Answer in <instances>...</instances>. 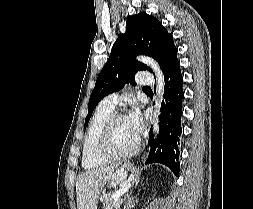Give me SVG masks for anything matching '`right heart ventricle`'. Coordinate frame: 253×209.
<instances>
[{
  "mask_svg": "<svg viewBox=\"0 0 253 209\" xmlns=\"http://www.w3.org/2000/svg\"><path fill=\"white\" fill-rule=\"evenodd\" d=\"M113 114V108L99 104L88 125L83 140L82 166L85 169H94L102 166L107 159L100 157L97 153V143L104 123Z\"/></svg>",
  "mask_w": 253,
  "mask_h": 209,
  "instance_id": "right-heart-ventricle-1",
  "label": "right heart ventricle"
}]
</instances>
